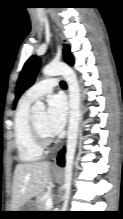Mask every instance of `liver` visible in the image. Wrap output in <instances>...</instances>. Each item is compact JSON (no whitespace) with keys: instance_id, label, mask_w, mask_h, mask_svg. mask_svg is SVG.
Instances as JSON below:
<instances>
[{"instance_id":"6515ba94","label":"liver","mask_w":123,"mask_h":219,"mask_svg":"<svg viewBox=\"0 0 123 219\" xmlns=\"http://www.w3.org/2000/svg\"><path fill=\"white\" fill-rule=\"evenodd\" d=\"M50 162L19 163L14 171L11 211H19L33 197L40 195L50 180Z\"/></svg>"}]
</instances>
